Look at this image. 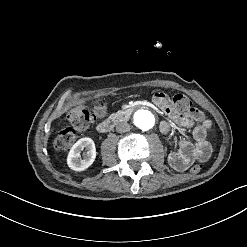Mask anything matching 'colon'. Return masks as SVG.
<instances>
[{"label":"colon","instance_id":"obj_1","mask_svg":"<svg viewBox=\"0 0 247 247\" xmlns=\"http://www.w3.org/2000/svg\"><path fill=\"white\" fill-rule=\"evenodd\" d=\"M171 102L178 109H185L189 105V97L185 93H178L171 97ZM100 110L97 108L93 112L87 110L84 106L78 105L74 110L66 115V119L72 124L71 126L61 128L58 130L54 140V148L58 152L67 151L75 142L77 137V130L84 129L94 124L99 119ZM201 169L200 164H194L190 171L197 173Z\"/></svg>","mask_w":247,"mask_h":247}]
</instances>
